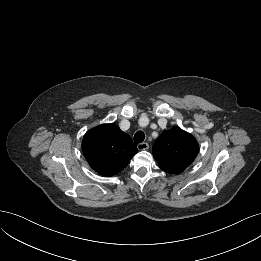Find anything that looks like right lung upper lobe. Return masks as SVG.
Returning a JSON list of instances; mask_svg holds the SVG:
<instances>
[{
	"mask_svg": "<svg viewBox=\"0 0 261 261\" xmlns=\"http://www.w3.org/2000/svg\"><path fill=\"white\" fill-rule=\"evenodd\" d=\"M84 156L96 172L113 176L124 169L138 152L137 145L115 124H102L83 137Z\"/></svg>",
	"mask_w": 261,
	"mask_h": 261,
	"instance_id": "1",
	"label": "right lung upper lobe"
}]
</instances>
